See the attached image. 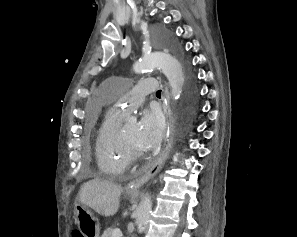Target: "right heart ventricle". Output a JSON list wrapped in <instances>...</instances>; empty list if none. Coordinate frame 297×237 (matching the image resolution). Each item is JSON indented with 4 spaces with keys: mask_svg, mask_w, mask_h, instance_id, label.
Returning <instances> with one entry per match:
<instances>
[{
    "mask_svg": "<svg viewBox=\"0 0 297 237\" xmlns=\"http://www.w3.org/2000/svg\"><path fill=\"white\" fill-rule=\"evenodd\" d=\"M122 114L109 111L97 130L95 156L99 170L107 176H119L130 166L131 159L119 140Z\"/></svg>",
    "mask_w": 297,
    "mask_h": 237,
    "instance_id": "e07e8e85",
    "label": "right heart ventricle"
}]
</instances>
